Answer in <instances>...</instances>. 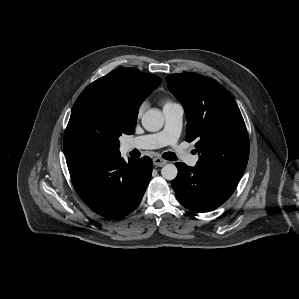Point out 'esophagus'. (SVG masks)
Masks as SVG:
<instances>
[{
  "label": "esophagus",
  "instance_id": "1",
  "mask_svg": "<svg viewBox=\"0 0 299 299\" xmlns=\"http://www.w3.org/2000/svg\"><path fill=\"white\" fill-rule=\"evenodd\" d=\"M153 163L157 167H162L167 163V161L162 158L156 157L153 159Z\"/></svg>",
  "mask_w": 299,
  "mask_h": 299
}]
</instances>
